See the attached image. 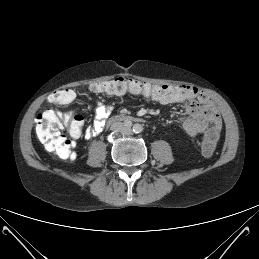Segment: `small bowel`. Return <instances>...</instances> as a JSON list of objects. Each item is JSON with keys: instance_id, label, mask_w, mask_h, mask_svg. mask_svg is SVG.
<instances>
[{"instance_id": "small-bowel-1", "label": "small bowel", "mask_w": 259, "mask_h": 259, "mask_svg": "<svg viewBox=\"0 0 259 259\" xmlns=\"http://www.w3.org/2000/svg\"><path fill=\"white\" fill-rule=\"evenodd\" d=\"M180 86V85H176ZM200 91V90H199ZM161 104L157 98H151ZM179 103H185L186 118L183 120V128L185 132L195 137L198 134L206 132L210 127H215L219 131L221 128V118L210 103L209 99L200 91V96L195 101H181ZM167 104H171L170 102ZM111 107L106 105L102 101H97L94 107V122L91 127L87 128L81 135L86 139H92L97 137L104 129L105 122L110 115ZM76 154L73 153L72 158L74 159Z\"/></svg>"}]
</instances>
